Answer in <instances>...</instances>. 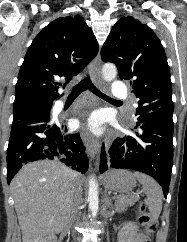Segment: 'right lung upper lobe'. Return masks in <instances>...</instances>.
I'll return each instance as SVG.
<instances>
[{"instance_id":"obj_1","label":"right lung upper lobe","mask_w":187,"mask_h":242,"mask_svg":"<svg viewBox=\"0 0 187 242\" xmlns=\"http://www.w3.org/2000/svg\"><path fill=\"white\" fill-rule=\"evenodd\" d=\"M98 43L83 17H60L33 40L21 65L14 107L53 104L60 78L68 83L97 55Z\"/></svg>"}]
</instances>
